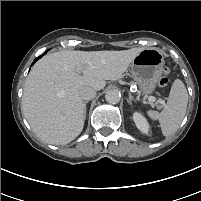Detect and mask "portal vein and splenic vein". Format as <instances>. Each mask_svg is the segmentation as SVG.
Returning <instances> with one entry per match:
<instances>
[{
  "label": "portal vein and splenic vein",
  "instance_id": "portal-vein-and-splenic-vein-1",
  "mask_svg": "<svg viewBox=\"0 0 201 201\" xmlns=\"http://www.w3.org/2000/svg\"><path fill=\"white\" fill-rule=\"evenodd\" d=\"M148 100H149L150 102H156V103H160V104H162V105H165V101H164V100H162V99H156V98L153 97V96L148 97Z\"/></svg>",
  "mask_w": 201,
  "mask_h": 201
}]
</instances>
